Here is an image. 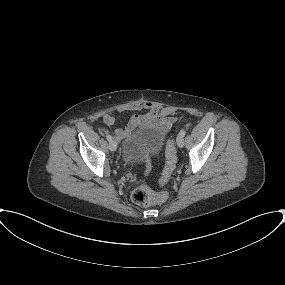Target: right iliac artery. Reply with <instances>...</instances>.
I'll return each mask as SVG.
<instances>
[{"mask_svg": "<svg viewBox=\"0 0 285 285\" xmlns=\"http://www.w3.org/2000/svg\"><path fill=\"white\" fill-rule=\"evenodd\" d=\"M106 139L110 142L112 140V136L111 135H107Z\"/></svg>", "mask_w": 285, "mask_h": 285, "instance_id": "right-iliac-artery-1", "label": "right iliac artery"}]
</instances>
